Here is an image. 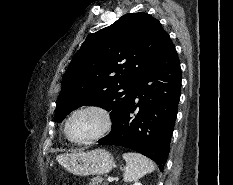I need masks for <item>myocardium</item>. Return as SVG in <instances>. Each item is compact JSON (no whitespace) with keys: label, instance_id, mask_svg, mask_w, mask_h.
Returning <instances> with one entry per match:
<instances>
[{"label":"myocardium","instance_id":"f54148a6","mask_svg":"<svg viewBox=\"0 0 233 185\" xmlns=\"http://www.w3.org/2000/svg\"><path fill=\"white\" fill-rule=\"evenodd\" d=\"M84 111H95V112H98L103 117V120H104L103 127L101 128V130L97 134H95L94 136H92V137H90L88 139H85V140H75V139H73L71 137V135L69 133V125H70V122H71L72 118L76 114L84 112ZM112 126H113V117H112L111 112L106 107H104V106L97 105V104H90V105H85V106H82V107L74 110L69 115V117L67 118L66 123H65L64 131H65L66 137L72 143L78 144V145H86V144L94 143V142H96V141L104 138L106 135L109 134V132L112 129Z\"/></svg>","mask_w":233,"mask_h":185}]
</instances>
